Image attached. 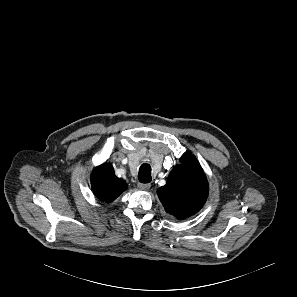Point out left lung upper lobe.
<instances>
[{"instance_id": "obj_1", "label": "left lung upper lobe", "mask_w": 297, "mask_h": 297, "mask_svg": "<svg viewBox=\"0 0 297 297\" xmlns=\"http://www.w3.org/2000/svg\"><path fill=\"white\" fill-rule=\"evenodd\" d=\"M180 162L157 194L167 213L185 219L203 207L209 189L206 176L192 153L183 154Z\"/></svg>"}]
</instances>
